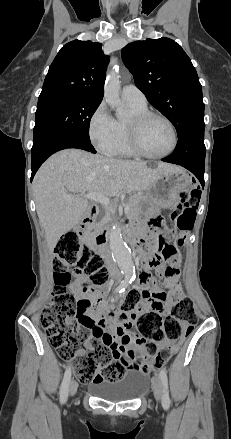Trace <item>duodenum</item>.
I'll return each mask as SVG.
<instances>
[{
  "instance_id": "duodenum-1",
  "label": "duodenum",
  "mask_w": 231,
  "mask_h": 439,
  "mask_svg": "<svg viewBox=\"0 0 231 439\" xmlns=\"http://www.w3.org/2000/svg\"><path fill=\"white\" fill-rule=\"evenodd\" d=\"M89 212H90V216L86 217L83 221V223L80 225L79 227V231L87 234L89 231V226L91 225V223L93 222L94 216L97 213V206L95 204H90L89 206ZM106 236H107V231L104 230L101 233H98L97 235H95V241H94V245L99 249V250H103L105 243H106ZM140 242L138 240H135L134 245L136 248H139L140 246ZM143 254H141V260L143 258ZM143 268V265H142Z\"/></svg>"
}]
</instances>
